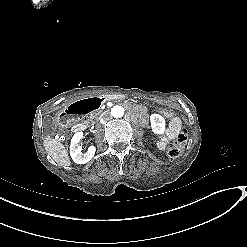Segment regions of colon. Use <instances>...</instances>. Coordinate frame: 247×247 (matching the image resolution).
<instances>
[{"mask_svg": "<svg viewBox=\"0 0 247 247\" xmlns=\"http://www.w3.org/2000/svg\"><path fill=\"white\" fill-rule=\"evenodd\" d=\"M157 111L161 115H163L164 118L170 119L171 121H174L178 118V115L176 113H173L172 110L169 108L165 109L162 106H159L157 108ZM187 141H188V131L186 129H183L182 132L177 137L176 141L168 148L166 152L168 158L171 160L176 159L183 151Z\"/></svg>", "mask_w": 247, "mask_h": 247, "instance_id": "colon-1", "label": "colon"}]
</instances>
